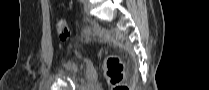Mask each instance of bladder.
<instances>
[{"label":"bladder","mask_w":209,"mask_h":90,"mask_svg":"<svg viewBox=\"0 0 209 90\" xmlns=\"http://www.w3.org/2000/svg\"><path fill=\"white\" fill-rule=\"evenodd\" d=\"M64 70L70 77L78 78L82 75V67L78 63L66 62L64 63Z\"/></svg>","instance_id":"31cf9c89"}]
</instances>
